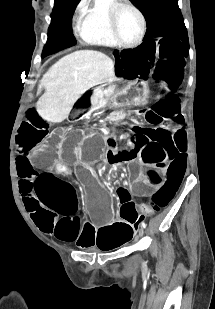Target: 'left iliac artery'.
I'll return each mask as SVG.
<instances>
[{
  "mask_svg": "<svg viewBox=\"0 0 215 309\" xmlns=\"http://www.w3.org/2000/svg\"><path fill=\"white\" fill-rule=\"evenodd\" d=\"M141 225L146 228V224L144 222H142Z\"/></svg>",
  "mask_w": 215,
  "mask_h": 309,
  "instance_id": "obj_1",
  "label": "left iliac artery"
}]
</instances>
